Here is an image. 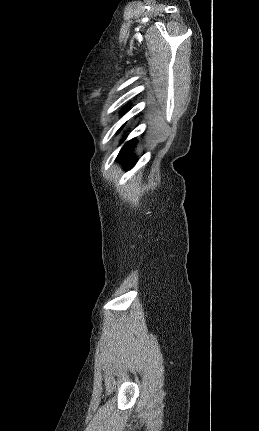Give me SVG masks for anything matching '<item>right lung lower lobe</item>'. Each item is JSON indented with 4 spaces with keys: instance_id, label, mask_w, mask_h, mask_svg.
<instances>
[{
    "instance_id": "right-lung-lower-lobe-1",
    "label": "right lung lower lobe",
    "mask_w": 259,
    "mask_h": 431,
    "mask_svg": "<svg viewBox=\"0 0 259 431\" xmlns=\"http://www.w3.org/2000/svg\"><path fill=\"white\" fill-rule=\"evenodd\" d=\"M124 126V125H123ZM122 126V127H123ZM122 127L120 129H122ZM135 144V139L128 141L121 149L117 159L122 158L124 161V169H131L135 163L136 159L131 157V151Z\"/></svg>"
}]
</instances>
